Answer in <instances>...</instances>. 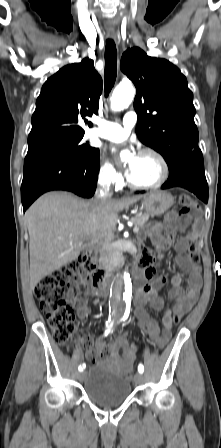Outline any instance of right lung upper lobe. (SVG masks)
<instances>
[{
	"mask_svg": "<svg viewBox=\"0 0 221 448\" xmlns=\"http://www.w3.org/2000/svg\"><path fill=\"white\" fill-rule=\"evenodd\" d=\"M102 79L89 58L61 68L43 85L32 116L28 146L84 135L86 116L98 113Z\"/></svg>",
	"mask_w": 221,
	"mask_h": 448,
	"instance_id": "1",
	"label": "right lung upper lobe"
}]
</instances>
